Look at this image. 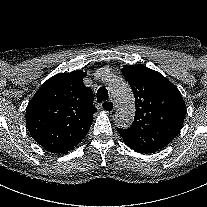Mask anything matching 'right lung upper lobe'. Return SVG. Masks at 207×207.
Wrapping results in <instances>:
<instances>
[{
  "label": "right lung upper lobe",
  "instance_id": "cb5924a9",
  "mask_svg": "<svg viewBox=\"0 0 207 207\" xmlns=\"http://www.w3.org/2000/svg\"><path fill=\"white\" fill-rule=\"evenodd\" d=\"M83 71L59 73L45 81L26 109V125L44 149L67 153L86 136L97 109Z\"/></svg>",
  "mask_w": 207,
  "mask_h": 207
}]
</instances>
